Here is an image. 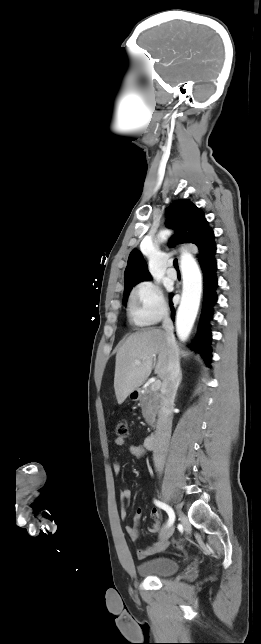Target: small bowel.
Instances as JSON below:
<instances>
[{"instance_id": "small-bowel-1", "label": "small bowel", "mask_w": 261, "mask_h": 644, "mask_svg": "<svg viewBox=\"0 0 261 644\" xmlns=\"http://www.w3.org/2000/svg\"><path fill=\"white\" fill-rule=\"evenodd\" d=\"M115 443L117 446L121 447L125 445V440L116 438ZM129 452L131 453V455H133L135 458H138V459L144 458L147 454V450L145 449V447L140 444L130 445ZM120 471H121V461L117 459L113 464V472L116 475H118ZM131 497H132V491L129 488H124L120 491V499H121L120 517L122 520H125L127 518V504L131 499ZM141 516H142V509L138 508L135 511L133 516L135 525L125 526V532L128 538L132 542H135L138 538L139 529L137 524L140 521ZM151 518H152V523L149 527V532L153 534L159 533L161 524H160V512L158 511V509L156 508L152 509ZM160 534L158 539L152 545L142 547L137 550V556L139 558H145L147 556L161 552L166 547L167 542L166 540L160 538Z\"/></svg>"}]
</instances>
